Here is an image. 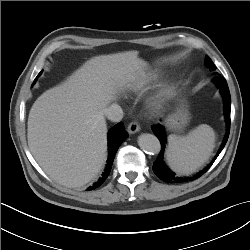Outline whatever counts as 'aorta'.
Returning a JSON list of instances; mask_svg holds the SVG:
<instances>
[{
    "label": "aorta",
    "instance_id": "762f6f07",
    "mask_svg": "<svg viewBox=\"0 0 250 250\" xmlns=\"http://www.w3.org/2000/svg\"><path fill=\"white\" fill-rule=\"evenodd\" d=\"M138 145L148 154H158L161 150L159 139L155 135L149 133L141 134L138 137Z\"/></svg>",
    "mask_w": 250,
    "mask_h": 250
}]
</instances>
